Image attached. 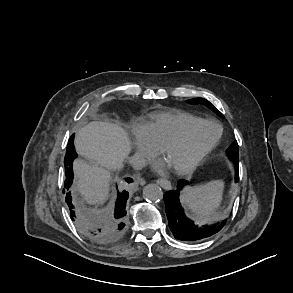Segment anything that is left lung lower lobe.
I'll return each instance as SVG.
<instances>
[{"mask_svg":"<svg viewBox=\"0 0 293 293\" xmlns=\"http://www.w3.org/2000/svg\"><path fill=\"white\" fill-rule=\"evenodd\" d=\"M234 166L236 170L235 182H238V162H235ZM186 184L187 181L180 180L176 190L169 191L164 195V201L166 204L165 211L170 230L176 239L183 241H197L210 237L220 231L226 221H223L221 224H215L213 226L204 225L199 228L191 220H189L186 217L179 200L180 191Z\"/></svg>","mask_w":293,"mask_h":293,"instance_id":"0a47b994","label":"left lung lower lobe"}]
</instances>
